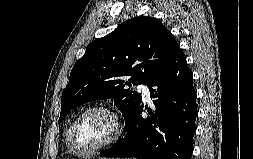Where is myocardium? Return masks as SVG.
<instances>
[{
  "mask_svg": "<svg viewBox=\"0 0 253 159\" xmlns=\"http://www.w3.org/2000/svg\"><path fill=\"white\" fill-rule=\"evenodd\" d=\"M92 111H103L105 113H107L108 115H110V117L112 118L113 124H114V132L112 134V136L106 140L105 142L101 143L98 146H95L87 151H78L74 148L73 144H72V136H73V132L75 129V126L77 124V122L87 113L92 112ZM124 132V123L122 120V117L120 116V114L118 113V111L116 109H114L113 107L109 106V105H105V104H97V105H93L90 106L84 110H82L71 122L69 129L67 131V147L69 148V150L77 155V156H89L92 155L100 150H103L111 145H113L114 143H116L122 136Z\"/></svg>",
  "mask_w": 253,
  "mask_h": 159,
  "instance_id": "f54148a6",
  "label": "myocardium"
}]
</instances>
